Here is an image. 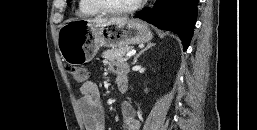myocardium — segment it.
I'll return each mask as SVG.
<instances>
[{
	"label": "myocardium",
	"instance_id": "myocardium-1",
	"mask_svg": "<svg viewBox=\"0 0 257 130\" xmlns=\"http://www.w3.org/2000/svg\"><path fill=\"white\" fill-rule=\"evenodd\" d=\"M145 1L146 0H137L133 5H131L129 7L114 8V7H109V6L104 5L99 0H87L90 7L93 8L98 13L114 14V15L133 13L136 10H138Z\"/></svg>",
	"mask_w": 257,
	"mask_h": 130
}]
</instances>
